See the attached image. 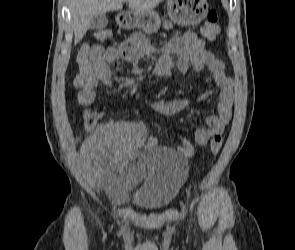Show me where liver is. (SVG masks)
<instances>
[{"label":"liver","mask_w":295,"mask_h":250,"mask_svg":"<svg viewBox=\"0 0 295 250\" xmlns=\"http://www.w3.org/2000/svg\"><path fill=\"white\" fill-rule=\"evenodd\" d=\"M163 0H70L72 29L74 42L77 44L90 27L91 19L95 15L106 14L110 11L122 10L123 2H128L132 11L153 10Z\"/></svg>","instance_id":"obj_1"}]
</instances>
